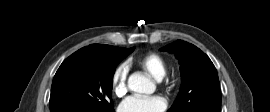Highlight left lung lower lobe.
<instances>
[{
  "label": "left lung lower lobe",
  "instance_id": "1",
  "mask_svg": "<svg viewBox=\"0 0 270 112\" xmlns=\"http://www.w3.org/2000/svg\"><path fill=\"white\" fill-rule=\"evenodd\" d=\"M191 112H204V111L192 110Z\"/></svg>",
  "mask_w": 270,
  "mask_h": 112
}]
</instances>
